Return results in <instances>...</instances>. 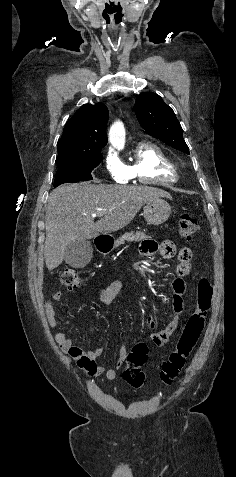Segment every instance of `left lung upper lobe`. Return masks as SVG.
Returning a JSON list of instances; mask_svg holds the SVG:
<instances>
[{"label":"left lung upper lobe","instance_id":"obj_1","mask_svg":"<svg viewBox=\"0 0 236 477\" xmlns=\"http://www.w3.org/2000/svg\"><path fill=\"white\" fill-rule=\"evenodd\" d=\"M136 116L143 129L167 145L189 154L182 127L174 111L156 93L145 92L135 103Z\"/></svg>","mask_w":236,"mask_h":477}]
</instances>
